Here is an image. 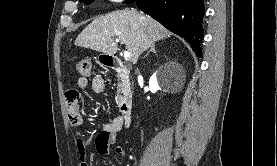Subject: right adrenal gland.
<instances>
[{"instance_id":"right-adrenal-gland-1","label":"right adrenal gland","mask_w":277,"mask_h":166,"mask_svg":"<svg viewBox=\"0 0 277 166\" xmlns=\"http://www.w3.org/2000/svg\"><path fill=\"white\" fill-rule=\"evenodd\" d=\"M150 52H153V53H157V51H156V49H155V45H152L151 47H150V50L148 51V53L146 54V56H148V54L150 53Z\"/></svg>"}]
</instances>
